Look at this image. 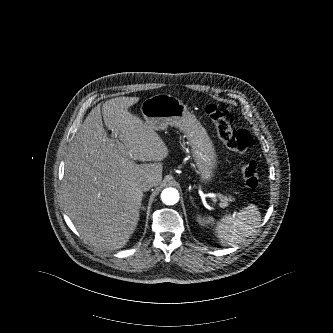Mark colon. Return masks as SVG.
Returning <instances> with one entry per match:
<instances>
[{
  "instance_id": "colon-1",
  "label": "colon",
  "mask_w": 333,
  "mask_h": 333,
  "mask_svg": "<svg viewBox=\"0 0 333 333\" xmlns=\"http://www.w3.org/2000/svg\"><path fill=\"white\" fill-rule=\"evenodd\" d=\"M205 113L214 122L219 137L229 148L244 154L254 144V140L248 131H233L228 126L225 120V113L218 106L213 104L206 106ZM241 172L246 186L255 188L258 184L256 163L254 161L244 163L241 167Z\"/></svg>"
}]
</instances>
